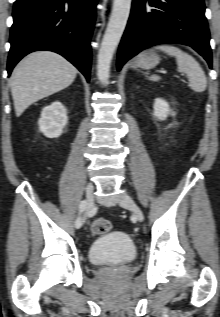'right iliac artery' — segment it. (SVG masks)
<instances>
[{"mask_svg":"<svg viewBox=\"0 0 220 317\" xmlns=\"http://www.w3.org/2000/svg\"><path fill=\"white\" fill-rule=\"evenodd\" d=\"M85 207H86V201L83 200L80 205H79V212L82 213L84 210H85ZM82 225L81 223V217H78L75 221V227L76 228H80Z\"/></svg>","mask_w":220,"mask_h":317,"instance_id":"obj_1","label":"right iliac artery"}]
</instances>
